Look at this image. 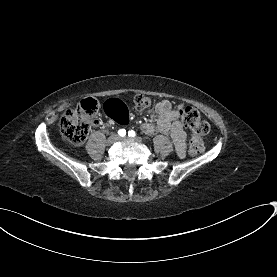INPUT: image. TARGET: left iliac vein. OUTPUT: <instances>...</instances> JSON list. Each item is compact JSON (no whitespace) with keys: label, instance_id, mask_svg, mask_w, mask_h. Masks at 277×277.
<instances>
[{"label":"left iliac vein","instance_id":"4c4485c4","mask_svg":"<svg viewBox=\"0 0 277 277\" xmlns=\"http://www.w3.org/2000/svg\"><path fill=\"white\" fill-rule=\"evenodd\" d=\"M122 140H126L127 137H124V138H121ZM137 141H141L142 139L141 138H136Z\"/></svg>","mask_w":277,"mask_h":277}]
</instances>
